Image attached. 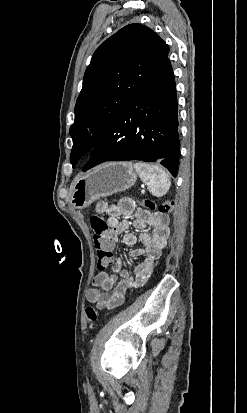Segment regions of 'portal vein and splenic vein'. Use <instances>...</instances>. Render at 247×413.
<instances>
[{"label": "portal vein and splenic vein", "mask_w": 247, "mask_h": 413, "mask_svg": "<svg viewBox=\"0 0 247 413\" xmlns=\"http://www.w3.org/2000/svg\"><path fill=\"white\" fill-rule=\"evenodd\" d=\"M142 191H143L142 193L144 194V193H145V192H144L145 190L143 189Z\"/></svg>", "instance_id": "obj_1"}]
</instances>
